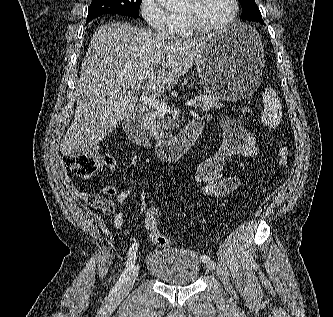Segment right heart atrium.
Listing matches in <instances>:
<instances>
[{
    "label": "right heart atrium",
    "mask_w": 333,
    "mask_h": 317,
    "mask_svg": "<svg viewBox=\"0 0 333 317\" xmlns=\"http://www.w3.org/2000/svg\"><path fill=\"white\" fill-rule=\"evenodd\" d=\"M139 11L146 24L161 33H172L173 14L164 9L158 0H140Z\"/></svg>",
    "instance_id": "1"
}]
</instances>
